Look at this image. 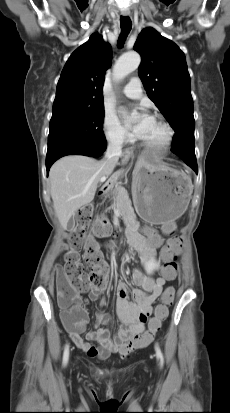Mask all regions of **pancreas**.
<instances>
[{
  "label": "pancreas",
  "mask_w": 230,
  "mask_h": 413,
  "mask_svg": "<svg viewBox=\"0 0 230 413\" xmlns=\"http://www.w3.org/2000/svg\"><path fill=\"white\" fill-rule=\"evenodd\" d=\"M113 195L112 208L117 207L123 216L126 225L133 226L134 228H139V223L136 220V215L131 206V200L129 199L128 193L125 188L117 186L111 192Z\"/></svg>",
  "instance_id": "cf45deb5"
}]
</instances>
